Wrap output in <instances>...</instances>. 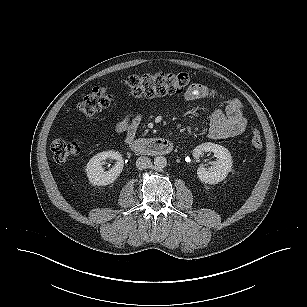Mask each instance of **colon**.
<instances>
[{"label":"colon","instance_id":"1","mask_svg":"<svg viewBox=\"0 0 307 307\" xmlns=\"http://www.w3.org/2000/svg\"><path fill=\"white\" fill-rule=\"evenodd\" d=\"M124 84L131 95L135 97L152 98L166 94H179L188 91L193 85V79L184 73L149 72L141 75L128 76ZM112 101L105 88H96L80 103L79 110L87 117H93L100 110L108 107ZM250 146L258 151L263 146L260 131L254 128L250 135ZM81 148L77 138L58 137L52 144V152L57 162H65Z\"/></svg>","mask_w":307,"mask_h":307}]
</instances>
